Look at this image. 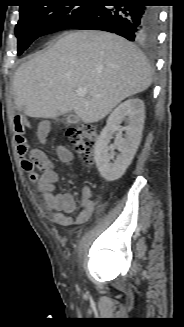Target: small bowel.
I'll list each match as a JSON object with an SVG mask.
<instances>
[{
    "instance_id": "obj_1",
    "label": "small bowel",
    "mask_w": 184,
    "mask_h": 327,
    "mask_svg": "<svg viewBox=\"0 0 184 327\" xmlns=\"http://www.w3.org/2000/svg\"><path fill=\"white\" fill-rule=\"evenodd\" d=\"M50 131L51 124L49 122H43L38 126L37 137L41 143H46ZM56 152L63 164H72L73 153L68 145H59ZM20 156H22L21 166L28 173L29 180L37 183L42 195L44 211L50 221L62 226H71L82 224L92 216L97 203L92 201L88 194H84L82 210L75 219L66 215L76 211V200L70 193H55V185L59 177L53 163L42 150H32L30 158H24V155ZM37 170L41 173L39 174Z\"/></svg>"
}]
</instances>
